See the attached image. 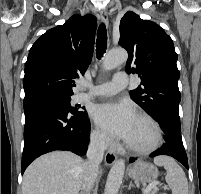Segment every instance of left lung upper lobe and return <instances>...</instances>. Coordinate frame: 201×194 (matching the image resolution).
I'll list each match as a JSON object with an SVG mask.
<instances>
[{
  "label": "left lung upper lobe",
  "mask_w": 201,
  "mask_h": 194,
  "mask_svg": "<svg viewBox=\"0 0 201 194\" xmlns=\"http://www.w3.org/2000/svg\"><path fill=\"white\" fill-rule=\"evenodd\" d=\"M119 44L129 54L127 73L141 79V85L130 91L131 98L153 117L161 110L179 112L178 57L165 31L129 11L120 21Z\"/></svg>",
  "instance_id": "1"
}]
</instances>
